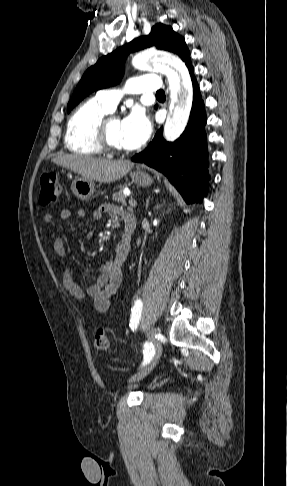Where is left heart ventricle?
<instances>
[{
  "label": "left heart ventricle",
  "mask_w": 287,
  "mask_h": 486,
  "mask_svg": "<svg viewBox=\"0 0 287 486\" xmlns=\"http://www.w3.org/2000/svg\"><path fill=\"white\" fill-rule=\"evenodd\" d=\"M108 135L112 144L125 149L122 133V121L118 118H113L108 124Z\"/></svg>",
  "instance_id": "1"
}]
</instances>
